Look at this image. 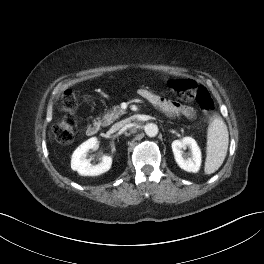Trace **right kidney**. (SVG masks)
<instances>
[{
  "mask_svg": "<svg viewBox=\"0 0 264 264\" xmlns=\"http://www.w3.org/2000/svg\"><path fill=\"white\" fill-rule=\"evenodd\" d=\"M98 148L97 138L93 137L82 143L73 153L71 168L83 176H97L107 172L112 165L111 156H103L102 161L97 165H92L86 158L90 149Z\"/></svg>",
  "mask_w": 264,
  "mask_h": 264,
  "instance_id": "obj_1",
  "label": "right kidney"
}]
</instances>
